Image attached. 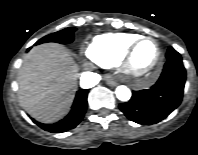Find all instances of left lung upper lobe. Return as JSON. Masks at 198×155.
I'll return each instance as SVG.
<instances>
[{
  "instance_id": "1",
  "label": "left lung upper lobe",
  "mask_w": 198,
  "mask_h": 155,
  "mask_svg": "<svg viewBox=\"0 0 198 155\" xmlns=\"http://www.w3.org/2000/svg\"><path fill=\"white\" fill-rule=\"evenodd\" d=\"M166 57H167V61L182 60L180 54L172 47H169Z\"/></svg>"
}]
</instances>
